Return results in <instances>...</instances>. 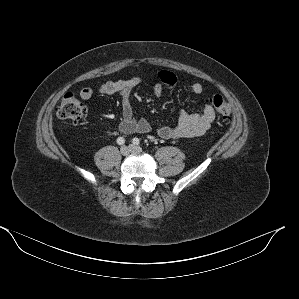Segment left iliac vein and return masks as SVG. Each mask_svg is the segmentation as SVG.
Instances as JSON below:
<instances>
[{
  "label": "left iliac vein",
  "instance_id": "4c4485c4",
  "mask_svg": "<svg viewBox=\"0 0 299 299\" xmlns=\"http://www.w3.org/2000/svg\"><path fill=\"white\" fill-rule=\"evenodd\" d=\"M130 152L132 153H140L142 152V148L140 146H135V145H129Z\"/></svg>",
  "mask_w": 299,
  "mask_h": 299
}]
</instances>
